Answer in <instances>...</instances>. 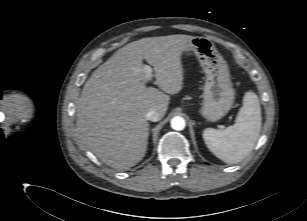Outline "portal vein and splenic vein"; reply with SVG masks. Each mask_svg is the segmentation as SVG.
<instances>
[{
  "label": "portal vein and splenic vein",
  "instance_id": "obj_1",
  "mask_svg": "<svg viewBox=\"0 0 307 221\" xmlns=\"http://www.w3.org/2000/svg\"><path fill=\"white\" fill-rule=\"evenodd\" d=\"M143 70L146 73L145 80L149 81L153 77V74H152L153 69L150 66H148V65H144L143 66Z\"/></svg>",
  "mask_w": 307,
  "mask_h": 221
}]
</instances>
